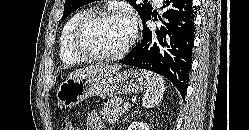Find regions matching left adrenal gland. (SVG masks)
<instances>
[{"mask_svg": "<svg viewBox=\"0 0 249 130\" xmlns=\"http://www.w3.org/2000/svg\"><path fill=\"white\" fill-rule=\"evenodd\" d=\"M127 118H128V116H126V117L123 119V121L127 120Z\"/></svg>", "mask_w": 249, "mask_h": 130, "instance_id": "1", "label": "left adrenal gland"}]
</instances>
